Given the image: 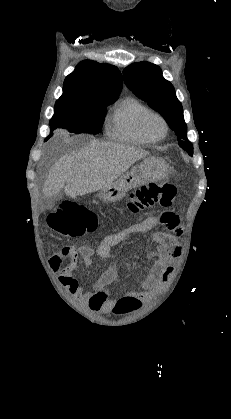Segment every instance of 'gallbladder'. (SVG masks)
Wrapping results in <instances>:
<instances>
[{"instance_id": "1", "label": "gallbladder", "mask_w": 231, "mask_h": 419, "mask_svg": "<svg viewBox=\"0 0 231 419\" xmlns=\"http://www.w3.org/2000/svg\"><path fill=\"white\" fill-rule=\"evenodd\" d=\"M58 198H60V195H55L54 196V199H58Z\"/></svg>"}]
</instances>
